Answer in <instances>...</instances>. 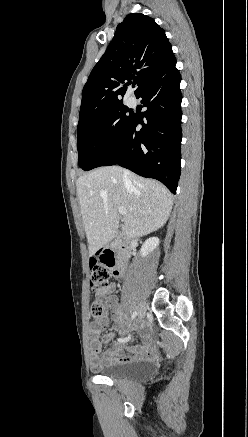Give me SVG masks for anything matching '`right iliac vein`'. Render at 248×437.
Returning <instances> with one entry per match:
<instances>
[{"instance_id":"obj_1","label":"right iliac vein","mask_w":248,"mask_h":437,"mask_svg":"<svg viewBox=\"0 0 248 437\" xmlns=\"http://www.w3.org/2000/svg\"><path fill=\"white\" fill-rule=\"evenodd\" d=\"M145 312H146L145 304H144V303H141V304L139 305V308H138V315H139V318H142V317L145 315Z\"/></svg>"}]
</instances>
